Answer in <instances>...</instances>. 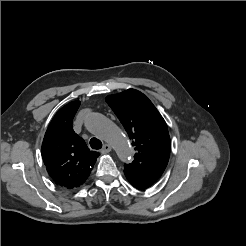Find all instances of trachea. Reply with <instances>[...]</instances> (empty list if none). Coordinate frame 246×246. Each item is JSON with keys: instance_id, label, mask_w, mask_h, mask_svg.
I'll return each mask as SVG.
<instances>
[{"instance_id": "3493384b", "label": "trachea", "mask_w": 246, "mask_h": 246, "mask_svg": "<svg viewBox=\"0 0 246 246\" xmlns=\"http://www.w3.org/2000/svg\"><path fill=\"white\" fill-rule=\"evenodd\" d=\"M90 146L92 149L98 150L102 148V142L97 138H92L90 140Z\"/></svg>"}]
</instances>
